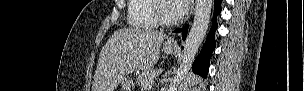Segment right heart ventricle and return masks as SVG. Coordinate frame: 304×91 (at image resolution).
Instances as JSON below:
<instances>
[{
	"mask_svg": "<svg viewBox=\"0 0 304 91\" xmlns=\"http://www.w3.org/2000/svg\"><path fill=\"white\" fill-rule=\"evenodd\" d=\"M155 0H129L127 21L131 27L138 29H153L157 21L153 15Z\"/></svg>",
	"mask_w": 304,
	"mask_h": 91,
	"instance_id": "obj_1",
	"label": "right heart ventricle"
}]
</instances>
